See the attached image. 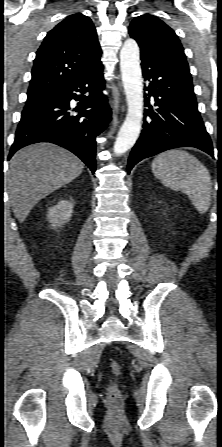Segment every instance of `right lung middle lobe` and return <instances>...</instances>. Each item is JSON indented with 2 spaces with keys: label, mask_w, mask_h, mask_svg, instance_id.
Returning a JSON list of instances; mask_svg holds the SVG:
<instances>
[{
  "label": "right lung middle lobe",
  "mask_w": 222,
  "mask_h": 447,
  "mask_svg": "<svg viewBox=\"0 0 222 447\" xmlns=\"http://www.w3.org/2000/svg\"><path fill=\"white\" fill-rule=\"evenodd\" d=\"M45 100H47V99H34V98L33 99H27L25 107L36 105V104L41 103V102H43Z\"/></svg>",
  "instance_id": "obj_1"
}]
</instances>
